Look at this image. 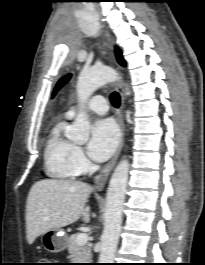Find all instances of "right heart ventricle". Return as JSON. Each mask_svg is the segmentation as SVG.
<instances>
[{
    "label": "right heart ventricle",
    "instance_id": "e07e8e85",
    "mask_svg": "<svg viewBox=\"0 0 205 265\" xmlns=\"http://www.w3.org/2000/svg\"><path fill=\"white\" fill-rule=\"evenodd\" d=\"M66 121H58L50 130L44 146V170L54 179H73L79 173L74 164L75 144L64 135Z\"/></svg>",
    "mask_w": 205,
    "mask_h": 265
}]
</instances>
